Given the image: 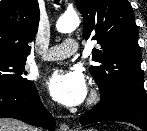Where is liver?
<instances>
[{
    "label": "liver",
    "instance_id": "obj_1",
    "mask_svg": "<svg viewBox=\"0 0 147 131\" xmlns=\"http://www.w3.org/2000/svg\"><path fill=\"white\" fill-rule=\"evenodd\" d=\"M0 131H36V130L19 120L0 118Z\"/></svg>",
    "mask_w": 147,
    "mask_h": 131
}]
</instances>
